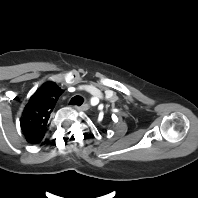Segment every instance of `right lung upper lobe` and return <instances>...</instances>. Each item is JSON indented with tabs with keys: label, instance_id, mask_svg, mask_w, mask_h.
<instances>
[{
	"label": "right lung upper lobe",
	"instance_id": "cb5924a9",
	"mask_svg": "<svg viewBox=\"0 0 198 198\" xmlns=\"http://www.w3.org/2000/svg\"><path fill=\"white\" fill-rule=\"evenodd\" d=\"M63 90L54 82L43 84L27 103L20 119L29 143H38L45 135L47 122Z\"/></svg>",
	"mask_w": 198,
	"mask_h": 198
}]
</instances>
